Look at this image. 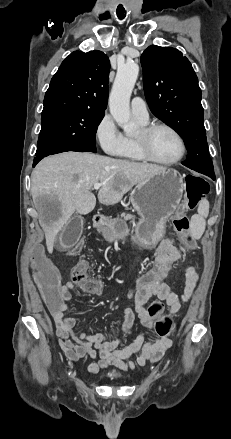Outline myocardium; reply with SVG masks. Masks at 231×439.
I'll list each match as a JSON object with an SVG mask.
<instances>
[{
    "label": "myocardium",
    "instance_id": "obj_1",
    "mask_svg": "<svg viewBox=\"0 0 231 439\" xmlns=\"http://www.w3.org/2000/svg\"><path fill=\"white\" fill-rule=\"evenodd\" d=\"M159 129H165L168 130L169 132H171L176 139L179 142V146H180V151L178 156L171 160V161H161L156 159L149 148V137L152 135V133H154L156 130ZM135 143L137 146L138 151L140 152V154L142 155V157L149 162H152L154 164L157 165H161V166H173L175 164H177L178 162H180L186 152V144L184 141V138L182 137V135L171 125L166 124V123H153V124H149V125H145L143 126L139 133L136 135L135 137Z\"/></svg>",
    "mask_w": 231,
    "mask_h": 439
}]
</instances>
